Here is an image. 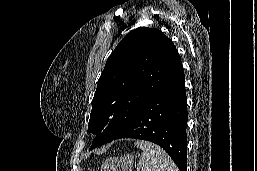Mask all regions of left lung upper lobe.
I'll return each instance as SVG.
<instances>
[{"mask_svg": "<svg viewBox=\"0 0 257 171\" xmlns=\"http://www.w3.org/2000/svg\"><path fill=\"white\" fill-rule=\"evenodd\" d=\"M178 56L173 42L158 29L139 27L122 39L106 61L92 100L88 132L98 136L90 149L110 142L130 125Z\"/></svg>", "mask_w": 257, "mask_h": 171, "instance_id": "1", "label": "left lung upper lobe"}]
</instances>
